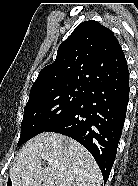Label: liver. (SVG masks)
Wrapping results in <instances>:
<instances>
[{
  "label": "liver",
  "instance_id": "obj_1",
  "mask_svg": "<svg viewBox=\"0 0 138 186\" xmlns=\"http://www.w3.org/2000/svg\"><path fill=\"white\" fill-rule=\"evenodd\" d=\"M48 167H42V161ZM12 186H101L102 174L89 151L58 133H41L20 150L9 171Z\"/></svg>",
  "mask_w": 138,
  "mask_h": 186
}]
</instances>
